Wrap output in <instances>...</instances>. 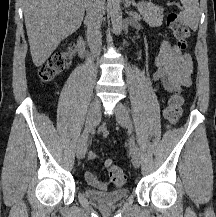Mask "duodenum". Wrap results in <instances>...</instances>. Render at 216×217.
<instances>
[{"label":"duodenum","mask_w":216,"mask_h":217,"mask_svg":"<svg viewBox=\"0 0 216 217\" xmlns=\"http://www.w3.org/2000/svg\"><path fill=\"white\" fill-rule=\"evenodd\" d=\"M79 46H80V53L81 55H83L84 53V43L82 40L79 41Z\"/></svg>","instance_id":"1"}]
</instances>
